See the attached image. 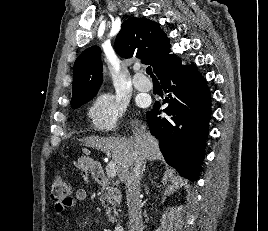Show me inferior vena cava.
<instances>
[{
  "mask_svg": "<svg viewBox=\"0 0 268 231\" xmlns=\"http://www.w3.org/2000/svg\"><path fill=\"white\" fill-rule=\"evenodd\" d=\"M143 159L137 151L131 155L130 165L125 172L126 200L129 214V231H143L140 200V171Z\"/></svg>",
  "mask_w": 268,
  "mask_h": 231,
  "instance_id": "inferior-vena-cava-1",
  "label": "inferior vena cava"
}]
</instances>
